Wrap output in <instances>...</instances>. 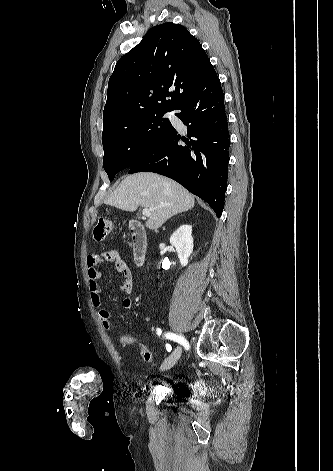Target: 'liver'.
I'll return each instance as SVG.
<instances>
[{"label": "liver", "mask_w": 333, "mask_h": 471, "mask_svg": "<svg viewBox=\"0 0 333 471\" xmlns=\"http://www.w3.org/2000/svg\"><path fill=\"white\" fill-rule=\"evenodd\" d=\"M105 204L129 212L139 206L152 209L146 227L157 230L172 216L193 208L195 199L171 179L154 173H137L126 177Z\"/></svg>", "instance_id": "obj_1"}]
</instances>
